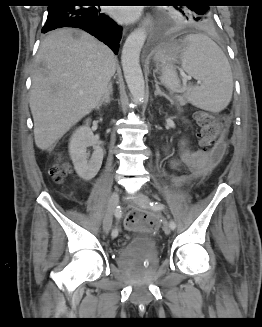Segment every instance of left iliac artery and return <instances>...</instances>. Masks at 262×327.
<instances>
[{
  "label": "left iliac artery",
  "mask_w": 262,
  "mask_h": 327,
  "mask_svg": "<svg viewBox=\"0 0 262 327\" xmlns=\"http://www.w3.org/2000/svg\"><path fill=\"white\" fill-rule=\"evenodd\" d=\"M150 207H151L153 210H163V209H164V205H163L162 203H159V202H156V201H154V202H150ZM169 225H170V228H171L172 230H174L175 227H176V224H175V222H174L173 220H171V221L169 222Z\"/></svg>",
  "instance_id": "obj_1"
}]
</instances>
